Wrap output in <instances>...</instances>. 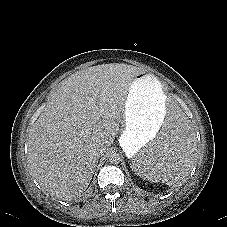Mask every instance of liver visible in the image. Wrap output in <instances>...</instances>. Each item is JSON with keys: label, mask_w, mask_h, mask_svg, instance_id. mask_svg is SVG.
<instances>
[{"label": "liver", "mask_w": 227, "mask_h": 227, "mask_svg": "<svg viewBox=\"0 0 227 227\" xmlns=\"http://www.w3.org/2000/svg\"><path fill=\"white\" fill-rule=\"evenodd\" d=\"M141 72L126 64L97 65L71 75L52 94L28 134L30 169L43 190L65 200L86 190L97 163L94 148L113 143Z\"/></svg>", "instance_id": "liver-1"}]
</instances>
